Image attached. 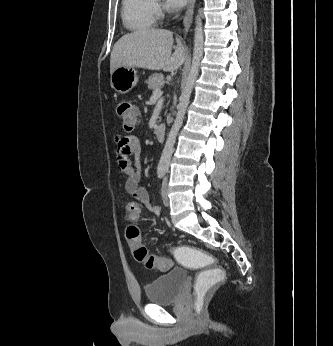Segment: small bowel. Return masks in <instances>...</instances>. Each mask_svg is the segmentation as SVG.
<instances>
[{"mask_svg":"<svg viewBox=\"0 0 333 346\" xmlns=\"http://www.w3.org/2000/svg\"><path fill=\"white\" fill-rule=\"evenodd\" d=\"M142 152L141 142L137 137H118L116 160L122 174L126 177L124 188L138 203L145 206L151 213L160 214V208L150 202L148 192L141 186V163L139 156ZM135 162L130 161L131 156Z\"/></svg>","mask_w":333,"mask_h":346,"instance_id":"small-bowel-1","label":"small bowel"}]
</instances>
